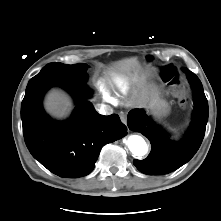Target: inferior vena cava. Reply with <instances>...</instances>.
<instances>
[{
  "label": "inferior vena cava",
  "instance_id": "obj_1",
  "mask_svg": "<svg viewBox=\"0 0 221 221\" xmlns=\"http://www.w3.org/2000/svg\"><path fill=\"white\" fill-rule=\"evenodd\" d=\"M97 110L102 115H110L112 113L111 107L105 104H97Z\"/></svg>",
  "mask_w": 221,
  "mask_h": 221
}]
</instances>
